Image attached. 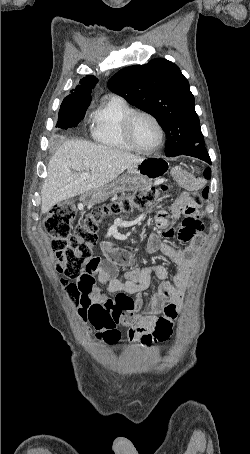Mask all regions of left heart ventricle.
<instances>
[{
    "label": "left heart ventricle",
    "mask_w": 250,
    "mask_h": 454,
    "mask_svg": "<svg viewBox=\"0 0 250 454\" xmlns=\"http://www.w3.org/2000/svg\"><path fill=\"white\" fill-rule=\"evenodd\" d=\"M133 136L136 144L143 149L154 147L159 140L155 124L147 117H138L133 126Z\"/></svg>",
    "instance_id": "1"
}]
</instances>
